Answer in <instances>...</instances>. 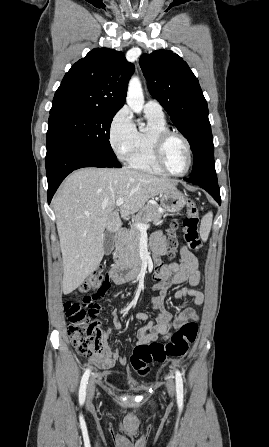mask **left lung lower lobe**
<instances>
[{
	"label": "left lung lower lobe",
	"mask_w": 269,
	"mask_h": 447,
	"mask_svg": "<svg viewBox=\"0 0 269 447\" xmlns=\"http://www.w3.org/2000/svg\"><path fill=\"white\" fill-rule=\"evenodd\" d=\"M186 181H189V180L186 179ZM193 184H196V185L202 187L203 189H205L210 195H212V197L219 204H221L220 190H219L217 182H213V183H193Z\"/></svg>",
	"instance_id": "0a47b994"
}]
</instances>
